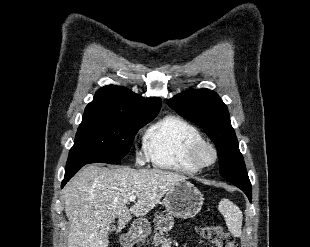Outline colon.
Returning <instances> with one entry per match:
<instances>
[{
    "label": "colon",
    "instance_id": "5ec220e1",
    "mask_svg": "<svg viewBox=\"0 0 310 247\" xmlns=\"http://www.w3.org/2000/svg\"><path fill=\"white\" fill-rule=\"evenodd\" d=\"M200 233L215 247H237L235 238L219 225L202 227Z\"/></svg>",
    "mask_w": 310,
    "mask_h": 247
}]
</instances>
